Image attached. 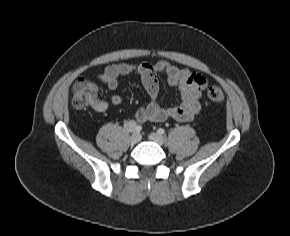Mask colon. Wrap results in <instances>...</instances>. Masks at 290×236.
Here are the masks:
<instances>
[{
	"mask_svg": "<svg viewBox=\"0 0 290 236\" xmlns=\"http://www.w3.org/2000/svg\"><path fill=\"white\" fill-rule=\"evenodd\" d=\"M99 89L97 85L88 78H82L74 83L72 87V104L75 109L82 110L91 105L97 99ZM206 97L211 102H222L225 95L221 87L210 86L206 90Z\"/></svg>",
	"mask_w": 290,
	"mask_h": 236,
	"instance_id": "obj_1",
	"label": "colon"
}]
</instances>
